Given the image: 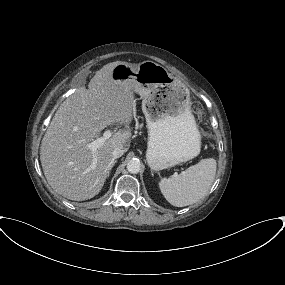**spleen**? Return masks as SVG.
<instances>
[{
  "instance_id": "1",
  "label": "spleen",
  "mask_w": 285,
  "mask_h": 285,
  "mask_svg": "<svg viewBox=\"0 0 285 285\" xmlns=\"http://www.w3.org/2000/svg\"><path fill=\"white\" fill-rule=\"evenodd\" d=\"M217 163L213 158L202 159L179 175L162 178L159 188L165 199L173 206L184 207L202 199L211 188Z\"/></svg>"
}]
</instances>
